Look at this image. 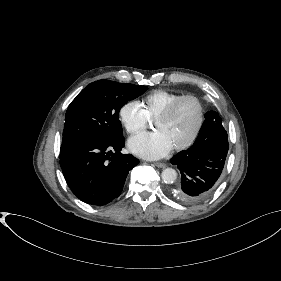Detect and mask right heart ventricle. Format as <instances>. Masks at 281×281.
Listing matches in <instances>:
<instances>
[{"instance_id": "right-heart-ventricle-1", "label": "right heart ventricle", "mask_w": 281, "mask_h": 281, "mask_svg": "<svg viewBox=\"0 0 281 281\" xmlns=\"http://www.w3.org/2000/svg\"><path fill=\"white\" fill-rule=\"evenodd\" d=\"M182 94L158 89L149 92L138 102L143 109L148 120L155 117L171 102L181 97Z\"/></svg>"}]
</instances>
